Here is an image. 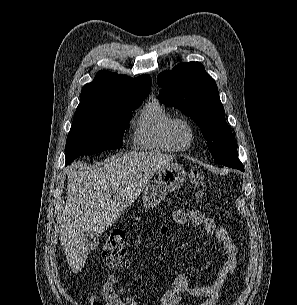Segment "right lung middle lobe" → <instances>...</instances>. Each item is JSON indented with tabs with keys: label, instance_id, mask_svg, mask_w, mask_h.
<instances>
[{
	"label": "right lung middle lobe",
	"instance_id": "dd1d6c3e",
	"mask_svg": "<svg viewBox=\"0 0 297 305\" xmlns=\"http://www.w3.org/2000/svg\"><path fill=\"white\" fill-rule=\"evenodd\" d=\"M144 98L116 102L107 106L77 108L66 142V165L79 155H90L122 147L129 128L131 110Z\"/></svg>",
	"mask_w": 297,
	"mask_h": 305
}]
</instances>
